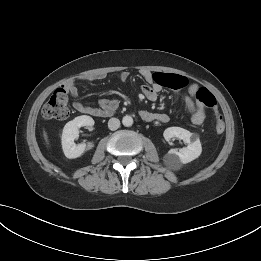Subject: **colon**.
I'll return each instance as SVG.
<instances>
[{
	"label": "colon",
	"instance_id": "colon-1",
	"mask_svg": "<svg viewBox=\"0 0 261 261\" xmlns=\"http://www.w3.org/2000/svg\"><path fill=\"white\" fill-rule=\"evenodd\" d=\"M200 106L213 109L215 113V130L222 133L225 124L216 109V99L206 88H200L196 94ZM42 115L47 119L64 120L69 116L68 97L65 89H57L42 109Z\"/></svg>",
	"mask_w": 261,
	"mask_h": 261
}]
</instances>
